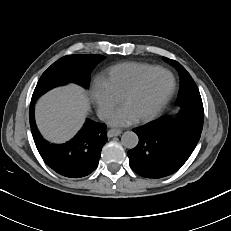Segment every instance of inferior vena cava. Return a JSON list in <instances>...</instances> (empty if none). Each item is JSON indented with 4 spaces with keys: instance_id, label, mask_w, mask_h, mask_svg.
I'll use <instances>...</instances> for the list:
<instances>
[{
    "instance_id": "602c4592",
    "label": "inferior vena cava",
    "mask_w": 231,
    "mask_h": 231,
    "mask_svg": "<svg viewBox=\"0 0 231 231\" xmlns=\"http://www.w3.org/2000/svg\"><path fill=\"white\" fill-rule=\"evenodd\" d=\"M100 117H101V119H103V118L106 117V115H105V114H102Z\"/></svg>"
}]
</instances>
